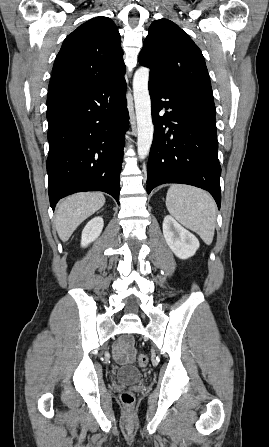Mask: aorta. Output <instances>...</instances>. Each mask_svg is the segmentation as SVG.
I'll return each instance as SVG.
<instances>
[{"label":"aorta","mask_w":269,"mask_h":447,"mask_svg":"<svg viewBox=\"0 0 269 447\" xmlns=\"http://www.w3.org/2000/svg\"><path fill=\"white\" fill-rule=\"evenodd\" d=\"M149 72V68H139L133 78V94L137 120V154L140 160L147 158L154 134L151 100L148 90Z\"/></svg>","instance_id":"obj_1"}]
</instances>
